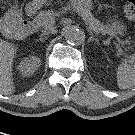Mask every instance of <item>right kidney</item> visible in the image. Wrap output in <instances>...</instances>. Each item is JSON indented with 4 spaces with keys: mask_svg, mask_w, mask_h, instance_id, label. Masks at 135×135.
<instances>
[{
    "mask_svg": "<svg viewBox=\"0 0 135 135\" xmlns=\"http://www.w3.org/2000/svg\"><path fill=\"white\" fill-rule=\"evenodd\" d=\"M40 64V58L31 56L29 58L23 59L19 63L18 70L23 76H30L35 72L37 68H39Z\"/></svg>",
    "mask_w": 135,
    "mask_h": 135,
    "instance_id": "ca27d5eb",
    "label": "right kidney"
}]
</instances>
